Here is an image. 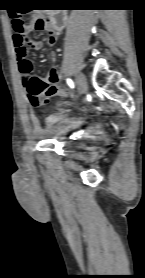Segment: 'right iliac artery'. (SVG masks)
<instances>
[{
	"instance_id": "1",
	"label": "right iliac artery",
	"mask_w": 145,
	"mask_h": 278,
	"mask_svg": "<svg viewBox=\"0 0 145 278\" xmlns=\"http://www.w3.org/2000/svg\"><path fill=\"white\" fill-rule=\"evenodd\" d=\"M67 84L71 87L74 88V83L71 79H67Z\"/></svg>"
}]
</instances>
